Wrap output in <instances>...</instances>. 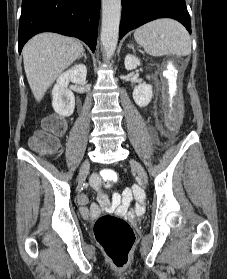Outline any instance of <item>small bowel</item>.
I'll list each match as a JSON object with an SVG mask.
<instances>
[{"mask_svg":"<svg viewBox=\"0 0 227 279\" xmlns=\"http://www.w3.org/2000/svg\"><path fill=\"white\" fill-rule=\"evenodd\" d=\"M111 169H105L101 171L99 174H94L90 178V186L95 189L98 192V205L92 204L89 207L87 206H81L80 212L84 216H90L95 215L99 212V207L104 208L109 211H117L120 214H129L132 215L131 212H129V205L131 202V197L129 196L128 192H125L124 199L121 200V195L119 193H114L111 197H109L102 188L101 185V175L103 172L109 171ZM132 191L134 193H139L140 188L136 185L132 187ZM79 202L81 204H84L87 202L88 197L87 195H80L78 198ZM146 203L143 201H138L136 204V210L142 211L143 208H145Z\"/></svg>","mask_w":227,"mask_h":279,"instance_id":"1","label":"small bowel"}]
</instances>
